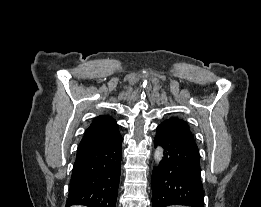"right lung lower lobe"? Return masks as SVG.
I'll use <instances>...</instances> for the list:
<instances>
[{
    "label": "right lung lower lobe",
    "mask_w": 261,
    "mask_h": 207,
    "mask_svg": "<svg viewBox=\"0 0 261 207\" xmlns=\"http://www.w3.org/2000/svg\"><path fill=\"white\" fill-rule=\"evenodd\" d=\"M122 137L77 152L66 207H115L121 171Z\"/></svg>",
    "instance_id": "1"
}]
</instances>
